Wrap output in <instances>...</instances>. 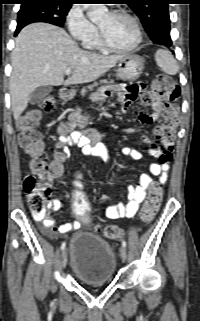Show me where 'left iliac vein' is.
Returning <instances> with one entry per match:
<instances>
[{
  "mask_svg": "<svg viewBox=\"0 0 200 321\" xmlns=\"http://www.w3.org/2000/svg\"><path fill=\"white\" fill-rule=\"evenodd\" d=\"M120 256H121V258L123 259V260H125L126 259V257H127V251H126V248L125 247H121L120 248Z\"/></svg>",
  "mask_w": 200,
  "mask_h": 321,
  "instance_id": "left-iliac-vein-1",
  "label": "left iliac vein"
}]
</instances>
